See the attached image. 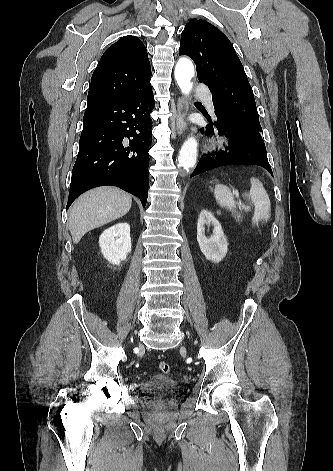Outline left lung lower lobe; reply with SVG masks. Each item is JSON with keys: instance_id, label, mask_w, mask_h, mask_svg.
<instances>
[{"instance_id": "left-lung-lower-lobe-1", "label": "left lung lower lobe", "mask_w": 333, "mask_h": 471, "mask_svg": "<svg viewBox=\"0 0 333 471\" xmlns=\"http://www.w3.org/2000/svg\"><path fill=\"white\" fill-rule=\"evenodd\" d=\"M204 116L209 121V124L206 128H201L200 131L210 135L214 133L215 129L219 136L228 139L229 146H227V151H221L216 156H206L202 158L190 177L216 167L230 164L262 166L273 176L263 140L243 130L232 128L226 120L221 117L215 116L216 120L212 121L208 114Z\"/></svg>"}]
</instances>
